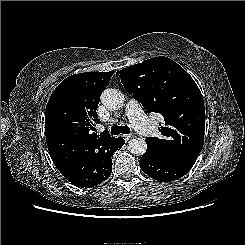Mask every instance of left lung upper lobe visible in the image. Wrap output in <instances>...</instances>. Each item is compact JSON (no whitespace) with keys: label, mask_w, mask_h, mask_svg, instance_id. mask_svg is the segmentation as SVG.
I'll list each match as a JSON object with an SVG mask.
<instances>
[{"label":"left lung upper lobe","mask_w":245,"mask_h":245,"mask_svg":"<svg viewBox=\"0 0 245 245\" xmlns=\"http://www.w3.org/2000/svg\"><path fill=\"white\" fill-rule=\"evenodd\" d=\"M125 90L150 113H160L161 137L146 138L147 152L195 163L204 143L205 107L191 76L173 60L159 56L117 71Z\"/></svg>","instance_id":"left-lung-upper-lobe-1"}]
</instances>
